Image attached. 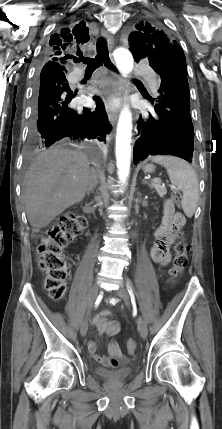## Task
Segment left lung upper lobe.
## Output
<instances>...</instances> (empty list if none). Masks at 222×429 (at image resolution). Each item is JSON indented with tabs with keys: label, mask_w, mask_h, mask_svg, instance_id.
Returning <instances> with one entry per match:
<instances>
[{
	"label": "left lung upper lobe",
	"mask_w": 222,
	"mask_h": 429,
	"mask_svg": "<svg viewBox=\"0 0 222 429\" xmlns=\"http://www.w3.org/2000/svg\"><path fill=\"white\" fill-rule=\"evenodd\" d=\"M128 44L134 59L148 58L149 65L155 72L160 60L167 59L187 73L186 59L180 45L151 24L145 22L137 24L136 31L129 35Z\"/></svg>",
	"instance_id": "1"
}]
</instances>
